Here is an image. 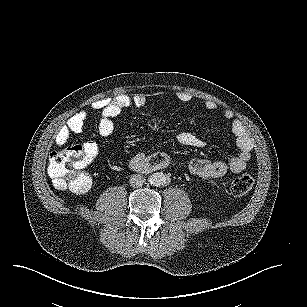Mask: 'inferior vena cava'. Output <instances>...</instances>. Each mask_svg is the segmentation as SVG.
<instances>
[{
	"label": "inferior vena cava",
	"instance_id": "obj_1",
	"mask_svg": "<svg viewBox=\"0 0 307 307\" xmlns=\"http://www.w3.org/2000/svg\"><path fill=\"white\" fill-rule=\"evenodd\" d=\"M145 177L141 174H132L129 179V183L133 188L142 187L145 183Z\"/></svg>",
	"mask_w": 307,
	"mask_h": 307
}]
</instances>
